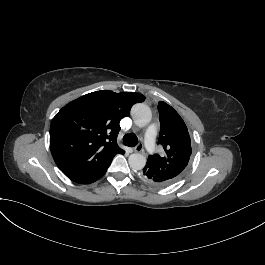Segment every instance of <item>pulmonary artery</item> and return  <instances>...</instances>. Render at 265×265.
Returning a JSON list of instances; mask_svg holds the SVG:
<instances>
[{
	"instance_id": "1",
	"label": "pulmonary artery",
	"mask_w": 265,
	"mask_h": 265,
	"mask_svg": "<svg viewBox=\"0 0 265 265\" xmlns=\"http://www.w3.org/2000/svg\"><path fill=\"white\" fill-rule=\"evenodd\" d=\"M145 139L147 142V151L149 154L154 155L158 151L157 139H156V129L154 126L149 125L145 129Z\"/></svg>"
}]
</instances>
